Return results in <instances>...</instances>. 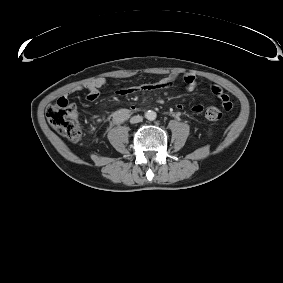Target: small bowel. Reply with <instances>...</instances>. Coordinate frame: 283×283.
Listing matches in <instances>:
<instances>
[{"mask_svg": "<svg viewBox=\"0 0 283 283\" xmlns=\"http://www.w3.org/2000/svg\"><path fill=\"white\" fill-rule=\"evenodd\" d=\"M179 78H181V81L187 91H193L197 87V78L191 73H185L181 76L178 74H170L156 82L121 88L118 90L117 93L121 96L127 97L135 94H148L159 92L171 88ZM104 84L105 80L103 78L98 77L88 82L83 87L73 89L71 92L85 90L87 100L95 101L100 96V90L104 86ZM211 90L213 94H215L221 101L222 107L226 111H229L232 108V103L228 94L220 86L217 85L212 86ZM176 109L177 112L182 111L183 105L177 104ZM130 110L134 111L135 107H130ZM203 110L204 107L201 104H196L192 107V111L196 114L202 113ZM75 115L78 116V113H76Z\"/></svg>", "mask_w": 283, "mask_h": 283, "instance_id": "small-bowel-1", "label": "small bowel"}]
</instances>
